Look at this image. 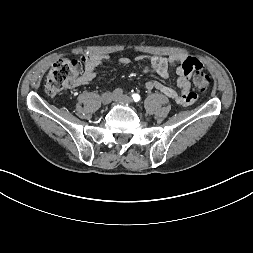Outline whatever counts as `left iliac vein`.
I'll return each instance as SVG.
<instances>
[{"instance_id": "1", "label": "left iliac vein", "mask_w": 253, "mask_h": 253, "mask_svg": "<svg viewBox=\"0 0 253 253\" xmlns=\"http://www.w3.org/2000/svg\"><path fill=\"white\" fill-rule=\"evenodd\" d=\"M114 100L118 101L119 103L123 105H131L132 104V99L127 96V95H119V96H114Z\"/></svg>"}]
</instances>
